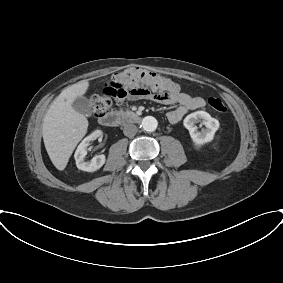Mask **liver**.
Masks as SVG:
<instances>
[{
	"mask_svg": "<svg viewBox=\"0 0 283 283\" xmlns=\"http://www.w3.org/2000/svg\"><path fill=\"white\" fill-rule=\"evenodd\" d=\"M87 80L80 81L62 91L48 109L42 124L43 141L53 165L64 170L70 156L88 129L87 118L76 112L72 103L84 95Z\"/></svg>",
	"mask_w": 283,
	"mask_h": 283,
	"instance_id": "6515ba94",
	"label": "liver"
}]
</instances>
